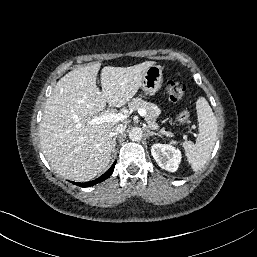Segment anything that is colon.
<instances>
[{"instance_id":"obj_1","label":"colon","mask_w":257,"mask_h":257,"mask_svg":"<svg viewBox=\"0 0 257 257\" xmlns=\"http://www.w3.org/2000/svg\"><path fill=\"white\" fill-rule=\"evenodd\" d=\"M186 92V86L180 82L175 80H170L167 83V93L169 98L172 101L181 100ZM189 120V114L186 110L182 111L179 115V121L181 123H186Z\"/></svg>"}]
</instances>
